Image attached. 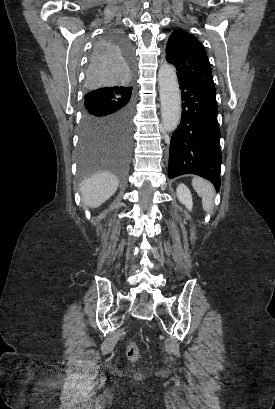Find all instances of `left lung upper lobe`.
I'll return each mask as SVG.
<instances>
[{"label":"left lung upper lobe","instance_id":"obj_1","mask_svg":"<svg viewBox=\"0 0 275 409\" xmlns=\"http://www.w3.org/2000/svg\"><path fill=\"white\" fill-rule=\"evenodd\" d=\"M166 59L176 67L179 79H190L215 90L207 54L193 35L175 30L167 42Z\"/></svg>","mask_w":275,"mask_h":409}]
</instances>
